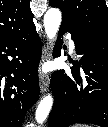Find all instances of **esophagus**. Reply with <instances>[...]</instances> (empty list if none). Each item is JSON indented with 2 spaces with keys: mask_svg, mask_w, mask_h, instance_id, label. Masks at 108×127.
Returning a JSON list of instances; mask_svg holds the SVG:
<instances>
[{
  "mask_svg": "<svg viewBox=\"0 0 108 127\" xmlns=\"http://www.w3.org/2000/svg\"><path fill=\"white\" fill-rule=\"evenodd\" d=\"M51 44L47 43L42 52L41 64L51 58ZM40 90L42 93L47 92L49 88L50 77L48 74L40 72L39 74Z\"/></svg>",
  "mask_w": 108,
  "mask_h": 127,
  "instance_id": "1",
  "label": "esophagus"
}]
</instances>
